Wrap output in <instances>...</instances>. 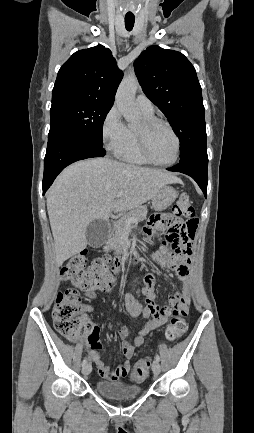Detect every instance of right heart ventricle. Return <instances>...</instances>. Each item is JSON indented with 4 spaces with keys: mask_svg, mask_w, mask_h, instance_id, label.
<instances>
[{
    "mask_svg": "<svg viewBox=\"0 0 254 433\" xmlns=\"http://www.w3.org/2000/svg\"><path fill=\"white\" fill-rule=\"evenodd\" d=\"M143 115L145 116V118H153V114L143 113ZM117 156L121 160L127 163L136 164V165L148 164V162L145 160V158L142 156L139 150L135 129L132 128L128 129L127 138L123 146L121 147L120 151L118 152Z\"/></svg>",
    "mask_w": 254,
    "mask_h": 433,
    "instance_id": "obj_1",
    "label": "right heart ventricle"
}]
</instances>
